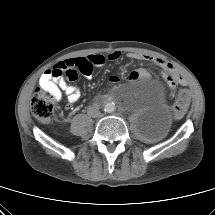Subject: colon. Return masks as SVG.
<instances>
[{
    "mask_svg": "<svg viewBox=\"0 0 215 215\" xmlns=\"http://www.w3.org/2000/svg\"><path fill=\"white\" fill-rule=\"evenodd\" d=\"M87 65L82 64L79 68V71H87ZM75 69H69L64 72L55 71L56 76H63L65 74L66 77L74 75ZM182 81V77L173 69L169 68L166 71V83L169 87H174L176 84ZM189 96L186 91H183L179 94L176 102L174 104V115L176 118H180L184 115L186 108L188 106ZM57 98L56 96L43 88L37 89L32 101H31V111L36 119L41 122H49L52 120L54 116V109Z\"/></svg>",
    "mask_w": 215,
    "mask_h": 215,
    "instance_id": "5ec220e1",
    "label": "colon"
}]
</instances>
